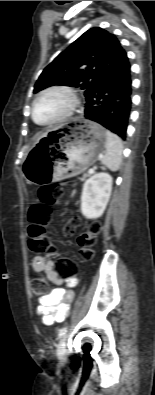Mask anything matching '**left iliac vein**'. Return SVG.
I'll use <instances>...</instances> for the list:
<instances>
[{"label":"left iliac vein","instance_id":"left-iliac-vein-1","mask_svg":"<svg viewBox=\"0 0 155 395\" xmlns=\"http://www.w3.org/2000/svg\"><path fill=\"white\" fill-rule=\"evenodd\" d=\"M67 335L64 334L58 344L57 347V355L59 359L63 360L65 358V347H66Z\"/></svg>","mask_w":155,"mask_h":395}]
</instances>
